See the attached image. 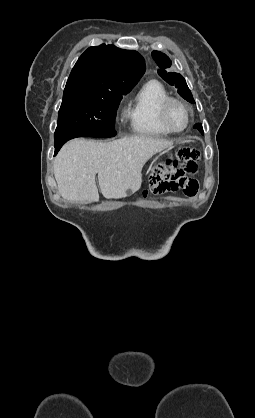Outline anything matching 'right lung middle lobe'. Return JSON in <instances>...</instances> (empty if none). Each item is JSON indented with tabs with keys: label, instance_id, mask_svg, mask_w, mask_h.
<instances>
[{
	"label": "right lung middle lobe",
	"instance_id": "obj_1",
	"mask_svg": "<svg viewBox=\"0 0 255 418\" xmlns=\"http://www.w3.org/2000/svg\"><path fill=\"white\" fill-rule=\"evenodd\" d=\"M129 91L65 87L54 134L55 142L80 136H115L116 110L122 96Z\"/></svg>",
	"mask_w": 255,
	"mask_h": 418
}]
</instances>
